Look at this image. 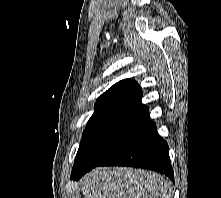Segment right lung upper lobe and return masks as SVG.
Masks as SVG:
<instances>
[{
  "label": "right lung upper lobe",
  "mask_w": 221,
  "mask_h": 198,
  "mask_svg": "<svg viewBox=\"0 0 221 198\" xmlns=\"http://www.w3.org/2000/svg\"><path fill=\"white\" fill-rule=\"evenodd\" d=\"M142 95L136 81L117 82L98 98L88 124L113 120L145 123L149 120V112L141 103Z\"/></svg>",
  "instance_id": "obj_1"
}]
</instances>
